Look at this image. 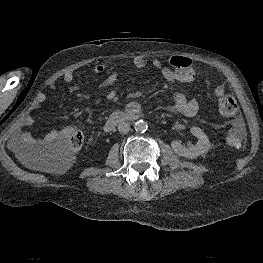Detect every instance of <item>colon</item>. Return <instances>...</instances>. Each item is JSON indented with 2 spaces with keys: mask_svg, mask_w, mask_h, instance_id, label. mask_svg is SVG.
Wrapping results in <instances>:
<instances>
[{
  "mask_svg": "<svg viewBox=\"0 0 263 263\" xmlns=\"http://www.w3.org/2000/svg\"><path fill=\"white\" fill-rule=\"evenodd\" d=\"M176 79L182 83H191L196 79V70L192 61L184 57H173L169 60ZM205 84L212 89L215 100L219 105L221 116L225 120L231 119L236 112V103L224 90L214 85L210 78H205ZM225 140L232 148H240L244 142V132L241 129H230L227 131ZM84 143V135L80 130H73L66 140V144L54 149L50 155L57 164H65L72 160Z\"/></svg>",
  "mask_w": 263,
  "mask_h": 263,
  "instance_id": "5ec220e1",
  "label": "colon"
}]
</instances>
